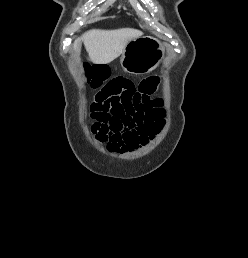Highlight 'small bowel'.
Segmentation results:
<instances>
[{
  "label": "small bowel",
  "instance_id": "obj_1",
  "mask_svg": "<svg viewBox=\"0 0 248 258\" xmlns=\"http://www.w3.org/2000/svg\"><path fill=\"white\" fill-rule=\"evenodd\" d=\"M157 79H147L136 87L125 77L106 82L99 97L111 98L122 114H127L124 125L105 132L101 125L93 128L98 139L106 143L111 152L124 153L146 145L162 128L164 112L162 102L153 97Z\"/></svg>",
  "mask_w": 248,
  "mask_h": 258
}]
</instances>
